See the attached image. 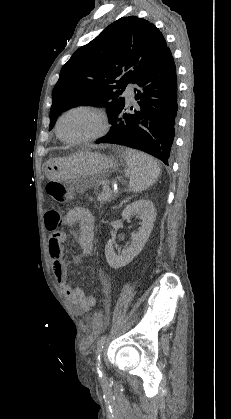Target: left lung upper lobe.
<instances>
[{"label":"left lung upper lobe","instance_id":"1","mask_svg":"<svg viewBox=\"0 0 231 419\" xmlns=\"http://www.w3.org/2000/svg\"><path fill=\"white\" fill-rule=\"evenodd\" d=\"M170 49L159 29L136 16L122 17L79 48L62 67L52 92L50 126L78 105L107 108L110 120L125 104L120 94Z\"/></svg>","mask_w":231,"mask_h":419}]
</instances>
